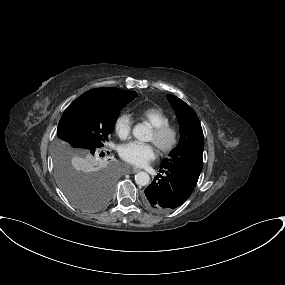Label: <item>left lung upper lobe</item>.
<instances>
[{
	"mask_svg": "<svg viewBox=\"0 0 285 285\" xmlns=\"http://www.w3.org/2000/svg\"><path fill=\"white\" fill-rule=\"evenodd\" d=\"M167 99L172 104L179 122L180 141L160 167L175 169L198 181L203 167L204 149L200 121L194 110L181 99L169 94Z\"/></svg>",
	"mask_w": 285,
	"mask_h": 285,
	"instance_id": "obj_1",
	"label": "left lung upper lobe"
}]
</instances>
